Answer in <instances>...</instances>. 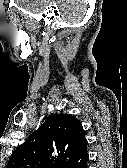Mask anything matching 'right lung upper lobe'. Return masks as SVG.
I'll return each mask as SVG.
<instances>
[{
	"instance_id": "obj_1",
	"label": "right lung upper lobe",
	"mask_w": 127,
	"mask_h": 168,
	"mask_svg": "<svg viewBox=\"0 0 127 168\" xmlns=\"http://www.w3.org/2000/svg\"><path fill=\"white\" fill-rule=\"evenodd\" d=\"M87 157L81 123L71 115L56 114L13 151L7 168H76Z\"/></svg>"
}]
</instances>
